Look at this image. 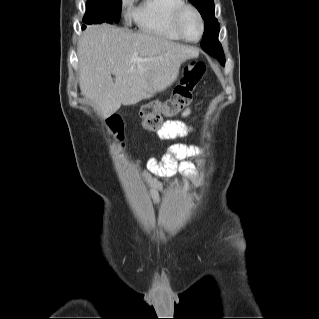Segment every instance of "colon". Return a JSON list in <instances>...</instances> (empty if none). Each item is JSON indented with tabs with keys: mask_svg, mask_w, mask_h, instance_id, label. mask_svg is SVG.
<instances>
[{
	"mask_svg": "<svg viewBox=\"0 0 319 319\" xmlns=\"http://www.w3.org/2000/svg\"><path fill=\"white\" fill-rule=\"evenodd\" d=\"M205 72L206 65L201 61L192 62L185 67L172 97L167 102L147 104L141 109L144 129L157 131L161 128L164 118L177 116L190 103L192 94ZM109 127L111 133L119 139L120 143L123 133L120 118H114Z\"/></svg>",
	"mask_w": 319,
	"mask_h": 319,
	"instance_id": "obj_1",
	"label": "colon"
}]
</instances>
